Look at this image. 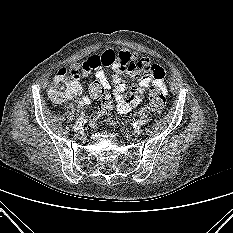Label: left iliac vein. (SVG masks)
Here are the masks:
<instances>
[{
    "instance_id": "left-iliac-vein-1",
    "label": "left iliac vein",
    "mask_w": 233,
    "mask_h": 233,
    "mask_svg": "<svg viewBox=\"0 0 233 233\" xmlns=\"http://www.w3.org/2000/svg\"><path fill=\"white\" fill-rule=\"evenodd\" d=\"M142 131H143L142 129H134L132 131V135L139 136V135H141Z\"/></svg>"
}]
</instances>
